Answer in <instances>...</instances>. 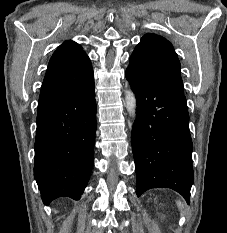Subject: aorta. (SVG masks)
<instances>
[{"label": "aorta", "mask_w": 227, "mask_h": 233, "mask_svg": "<svg viewBox=\"0 0 227 233\" xmlns=\"http://www.w3.org/2000/svg\"><path fill=\"white\" fill-rule=\"evenodd\" d=\"M125 103H126L127 111L129 112L130 116L135 118L136 117L137 101H136L135 95L131 91V89H128L126 91Z\"/></svg>", "instance_id": "aorta-1"}]
</instances>
